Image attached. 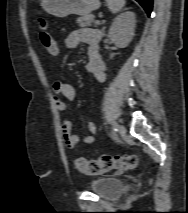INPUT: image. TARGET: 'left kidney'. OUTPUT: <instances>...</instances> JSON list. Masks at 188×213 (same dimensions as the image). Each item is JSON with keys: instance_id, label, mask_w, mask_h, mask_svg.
Returning <instances> with one entry per match:
<instances>
[{"instance_id": "obj_1", "label": "left kidney", "mask_w": 188, "mask_h": 213, "mask_svg": "<svg viewBox=\"0 0 188 213\" xmlns=\"http://www.w3.org/2000/svg\"><path fill=\"white\" fill-rule=\"evenodd\" d=\"M135 24V14L131 11L124 12L114 19L108 37L117 47L125 48L133 39Z\"/></svg>"}]
</instances>
